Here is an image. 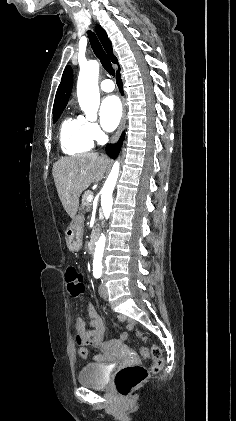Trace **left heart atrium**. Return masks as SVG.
Returning a JSON list of instances; mask_svg holds the SVG:
<instances>
[{"instance_id": "left-heart-atrium-1", "label": "left heart atrium", "mask_w": 236, "mask_h": 421, "mask_svg": "<svg viewBox=\"0 0 236 421\" xmlns=\"http://www.w3.org/2000/svg\"><path fill=\"white\" fill-rule=\"evenodd\" d=\"M101 124L106 131H113L122 117V106L117 96H106L101 103Z\"/></svg>"}]
</instances>
